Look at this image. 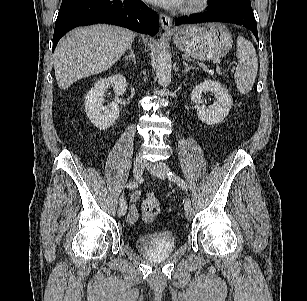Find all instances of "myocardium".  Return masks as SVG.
Masks as SVG:
<instances>
[{"label": "myocardium", "instance_id": "myocardium-1", "mask_svg": "<svg viewBox=\"0 0 307 301\" xmlns=\"http://www.w3.org/2000/svg\"><path fill=\"white\" fill-rule=\"evenodd\" d=\"M210 0H184L179 11L186 14L197 13L209 5Z\"/></svg>", "mask_w": 307, "mask_h": 301}]
</instances>
